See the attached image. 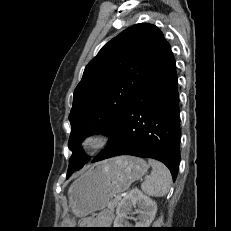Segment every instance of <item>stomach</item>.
<instances>
[{
  "label": "stomach",
  "instance_id": "1",
  "mask_svg": "<svg viewBox=\"0 0 231 231\" xmlns=\"http://www.w3.org/2000/svg\"><path fill=\"white\" fill-rule=\"evenodd\" d=\"M147 170V163L134 156H118L97 163L69 189L73 213L85 217L104 209L113 195L127 190Z\"/></svg>",
  "mask_w": 231,
  "mask_h": 231
}]
</instances>
